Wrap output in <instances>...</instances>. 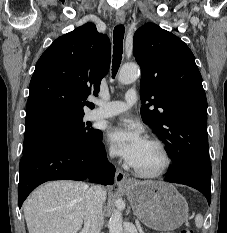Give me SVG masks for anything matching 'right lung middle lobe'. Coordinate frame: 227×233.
Wrapping results in <instances>:
<instances>
[{"label": "right lung middle lobe", "mask_w": 227, "mask_h": 233, "mask_svg": "<svg viewBox=\"0 0 227 233\" xmlns=\"http://www.w3.org/2000/svg\"><path fill=\"white\" fill-rule=\"evenodd\" d=\"M99 130L90 129L83 118L25 135L23 154L50 145H85L96 139Z\"/></svg>", "instance_id": "obj_1"}]
</instances>
